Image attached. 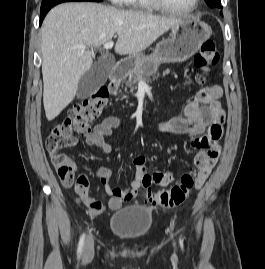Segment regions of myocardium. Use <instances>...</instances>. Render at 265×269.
Returning <instances> with one entry per match:
<instances>
[{"label":"myocardium","instance_id":"f54148a6","mask_svg":"<svg viewBox=\"0 0 265 269\" xmlns=\"http://www.w3.org/2000/svg\"><path fill=\"white\" fill-rule=\"evenodd\" d=\"M150 4L161 11L169 12V13H178V14H188L193 12L199 5L200 0H194L192 6L188 9H178L169 6L163 0H148Z\"/></svg>","mask_w":265,"mask_h":269}]
</instances>
